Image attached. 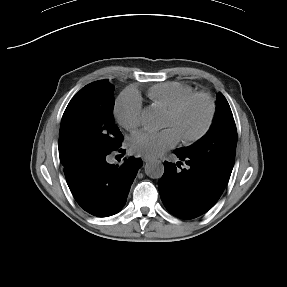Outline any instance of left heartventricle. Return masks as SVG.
I'll list each match as a JSON object with an SVG mask.
<instances>
[{"instance_id": "b2bd125f", "label": "left heart ventricle", "mask_w": 287, "mask_h": 287, "mask_svg": "<svg viewBox=\"0 0 287 287\" xmlns=\"http://www.w3.org/2000/svg\"><path fill=\"white\" fill-rule=\"evenodd\" d=\"M207 108L200 99L191 102L177 116L165 115L163 127L173 128L179 137L190 136L197 133L204 125Z\"/></svg>"}]
</instances>
